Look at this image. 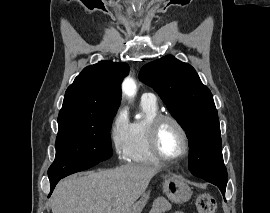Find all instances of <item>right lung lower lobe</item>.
Returning <instances> with one entry per match:
<instances>
[{"label": "right lung lower lobe", "instance_id": "1", "mask_svg": "<svg viewBox=\"0 0 270 213\" xmlns=\"http://www.w3.org/2000/svg\"><path fill=\"white\" fill-rule=\"evenodd\" d=\"M91 167H93V166L75 169V170L69 171V172L64 173V174H57V175L49 176L50 185H51V192H50L49 196L51 195L53 189L55 188V185L59 182L60 179L66 177L70 174H73V173H76L79 171H83V170H86V169L91 168Z\"/></svg>", "mask_w": 270, "mask_h": 213}]
</instances>
